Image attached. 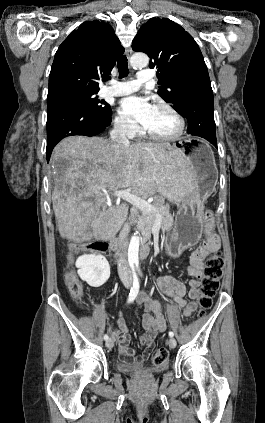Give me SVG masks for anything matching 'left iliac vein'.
<instances>
[{"instance_id": "4c4485c4", "label": "left iliac vein", "mask_w": 265, "mask_h": 423, "mask_svg": "<svg viewBox=\"0 0 265 423\" xmlns=\"http://www.w3.org/2000/svg\"><path fill=\"white\" fill-rule=\"evenodd\" d=\"M176 344H177V342H176V340L174 338H170L169 339L168 345H169L170 348H172V349L175 348L176 347Z\"/></svg>"}]
</instances>
